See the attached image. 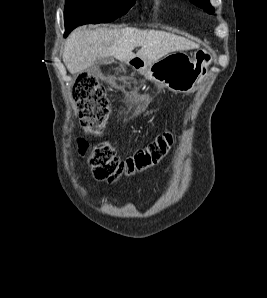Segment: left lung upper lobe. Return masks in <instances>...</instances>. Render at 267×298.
<instances>
[{"mask_svg": "<svg viewBox=\"0 0 267 298\" xmlns=\"http://www.w3.org/2000/svg\"><path fill=\"white\" fill-rule=\"evenodd\" d=\"M193 4H195L196 6L203 8L204 10H206L209 13H213L214 12V8L211 6L209 0H190Z\"/></svg>", "mask_w": 267, "mask_h": 298, "instance_id": "1", "label": "left lung upper lobe"}]
</instances>
